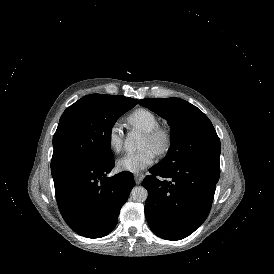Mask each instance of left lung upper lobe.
<instances>
[{
  "instance_id": "1",
  "label": "left lung upper lobe",
  "mask_w": 274,
  "mask_h": 274,
  "mask_svg": "<svg viewBox=\"0 0 274 274\" xmlns=\"http://www.w3.org/2000/svg\"><path fill=\"white\" fill-rule=\"evenodd\" d=\"M139 104L166 119L171 146L160 162L172 167L194 160L219 162L220 140L209 118L196 106L179 98H145Z\"/></svg>"
}]
</instances>
